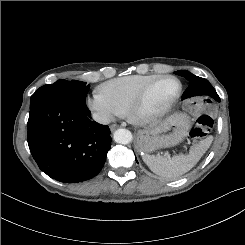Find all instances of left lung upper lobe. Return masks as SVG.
I'll use <instances>...</instances> for the list:
<instances>
[{"instance_id": "obj_1", "label": "left lung upper lobe", "mask_w": 245, "mask_h": 245, "mask_svg": "<svg viewBox=\"0 0 245 245\" xmlns=\"http://www.w3.org/2000/svg\"><path fill=\"white\" fill-rule=\"evenodd\" d=\"M174 73L185 77L190 82V85L184 92L182 98H188L195 95H206L212 98L214 95H217L215 89L208 80L195 76L188 71H176Z\"/></svg>"}]
</instances>
